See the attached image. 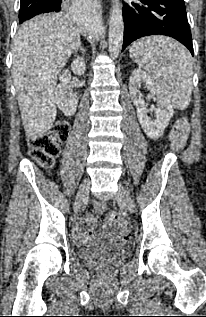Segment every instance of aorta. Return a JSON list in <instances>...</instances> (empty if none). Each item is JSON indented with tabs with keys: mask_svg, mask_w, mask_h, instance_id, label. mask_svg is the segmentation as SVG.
<instances>
[{
	"mask_svg": "<svg viewBox=\"0 0 206 317\" xmlns=\"http://www.w3.org/2000/svg\"><path fill=\"white\" fill-rule=\"evenodd\" d=\"M78 24L89 33L96 34L99 31L97 17L88 10H83L77 19ZM124 37V21L122 7L119 0L113 1L109 22V54L115 59L121 52Z\"/></svg>",
	"mask_w": 206,
	"mask_h": 317,
	"instance_id": "762f6f07",
	"label": "aorta"
}]
</instances>
